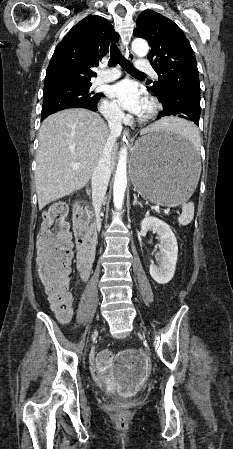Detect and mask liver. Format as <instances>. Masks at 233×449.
I'll return each instance as SVG.
<instances>
[{
  "label": "liver",
  "instance_id": "obj_1",
  "mask_svg": "<svg viewBox=\"0 0 233 449\" xmlns=\"http://www.w3.org/2000/svg\"><path fill=\"white\" fill-rule=\"evenodd\" d=\"M181 120L163 118L141 130H172ZM110 132L99 114L86 109H66L48 116L39 130L35 184L39 209L83 188L94 169ZM117 151L114 143L111 168ZM79 163V168L73 165Z\"/></svg>",
  "mask_w": 233,
  "mask_h": 449
}]
</instances>
